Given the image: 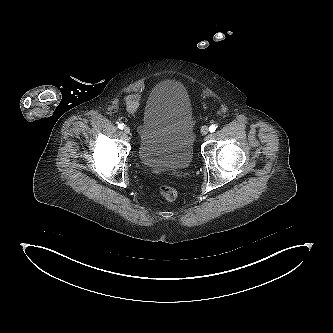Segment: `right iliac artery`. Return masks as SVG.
<instances>
[{
	"label": "right iliac artery",
	"mask_w": 333,
	"mask_h": 333,
	"mask_svg": "<svg viewBox=\"0 0 333 333\" xmlns=\"http://www.w3.org/2000/svg\"><path fill=\"white\" fill-rule=\"evenodd\" d=\"M118 128H119V129H123V128H124V124H123V123H119V124H118Z\"/></svg>",
	"instance_id": "1"
}]
</instances>
